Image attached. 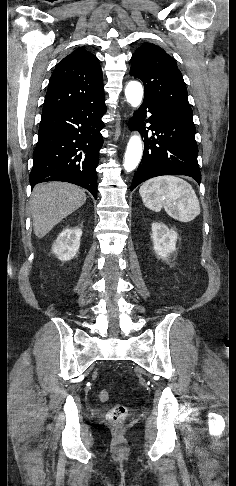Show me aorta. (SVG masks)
Listing matches in <instances>:
<instances>
[{"label":"aorta","mask_w":236,"mask_h":486,"mask_svg":"<svg viewBox=\"0 0 236 486\" xmlns=\"http://www.w3.org/2000/svg\"><path fill=\"white\" fill-rule=\"evenodd\" d=\"M125 96L132 107H138L143 98L142 85L137 81H130L125 88ZM141 157L142 140L138 133H134L127 144L123 163L124 170L132 172L138 166Z\"/></svg>","instance_id":"aorta-1"}]
</instances>
